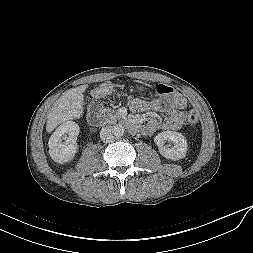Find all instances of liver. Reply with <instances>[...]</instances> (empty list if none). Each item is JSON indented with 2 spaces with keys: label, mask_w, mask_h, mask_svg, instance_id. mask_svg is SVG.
<instances>
[{
  "label": "liver",
  "mask_w": 253,
  "mask_h": 253,
  "mask_svg": "<svg viewBox=\"0 0 253 253\" xmlns=\"http://www.w3.org/2000/svg\"><path fill=\"white\" fill-rule=\"evenodd\" d=\"M88 85H81L67 90L52 107L47 123L46 131L52 132L59 124L78 119L83 114L84 95Z\"/></svg>",
  "instance_id": "6515ba94"
}]
</instances>
